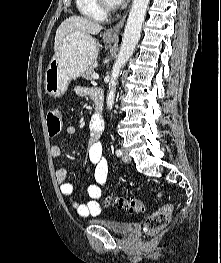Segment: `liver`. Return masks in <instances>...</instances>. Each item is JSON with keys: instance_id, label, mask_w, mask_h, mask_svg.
I'll return each mask as SVG.
<instances>
[{"instance_id": "liver-1", "label": "liver", "mask_w": 221, "mask_h": 263, "mask_svg": "<svg viewBox=\"0 0 221 263\" xmlns=\"http://www.w3.org/2000/svg\"><path fill=\"white\" fill-rule=\"evenodd\" d=\"M102 29L103 27L97 22L80 16H71L58 27L55 35L54 49L57 51L64 37L69 34L82 32L89 35H97Z\"/></svg>"}]
</instances>
